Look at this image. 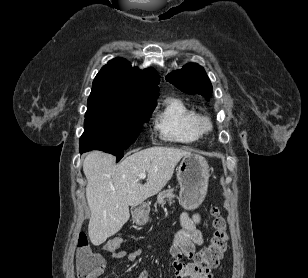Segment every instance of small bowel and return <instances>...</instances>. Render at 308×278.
Returning <instances> with one entry per match:
<instances>
[{
	"label": "small bowel",
	"instance_id": "small-bowel-1",
	"mask_svg": "<svg viewBox=\"0 0 308 278\" xmlns=\"http://www.w3.org/2000/svg\"><path fill=\"white\" fill-rule=\"evenodd\" d=\"M180 222L182 229L176 234L169 248V252L174 259L173 278H213L210 268L203 267L194 261L183 262L184 257L193 260L197 247L204 242L203 234L198 229L201 216L198 213L185 211L180 215ZM108 254L113 258H126L128 261L133 262L142 256L143 250H123L118 248V250ZM135 278H148V273L146 270H142Z\"/></svg>",
	"mask_w": 308,
	"mask_h": 278
}]
</instances>
